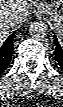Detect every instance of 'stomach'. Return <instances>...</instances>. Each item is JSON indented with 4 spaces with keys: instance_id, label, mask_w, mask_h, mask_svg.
<instances>
[{
    "instance_id": "stomach-1",
    "label": "stomach",
    "mask_w": 63,
    "mask_h": 107,
    "mask_svg": "<svg viewBox=\"0 0 63 107\" xmlns=\"http://www.w3.org/2000/svg\"><path fill=\"white\" fill-rule=\"evenodd\" d=\"M43 12L53 21L54 27L60 33L63 32V0H55L51 4H40ZM37 14V9L34 10Z\"/></svg>"
}]
</instances>
